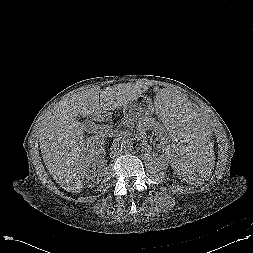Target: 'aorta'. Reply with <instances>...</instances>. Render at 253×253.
<instances>
[{
    "label": "aorta",
    "mask_w": 253,
    "mask_h": 253,
    "mask_svg": "<svg viewBox=\"0 0 253 253\" xmlns=\"http://www.w3.org/2000/svg\"><path fill=\"white\" fill-rule=\"evenodd\" d=\"M120 150L122 152H129L132 150V143L129 140H122L119 144Z\"/></svg>",
    "instance_id": "aorta-1"
}]
</instances>
